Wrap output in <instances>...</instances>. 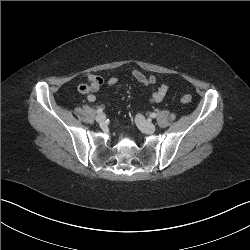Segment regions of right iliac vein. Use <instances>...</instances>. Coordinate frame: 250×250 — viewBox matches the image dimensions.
<instances>
[{
	"instance_id": "obj_1",
	"label": "right iliac vein",
	"mask_w": 250,
	"mask_h": 250,
	"mask_svg": "<svg viewBox=\"0 0 250 250\" xmlns=\"http://www.w3.org/2000/svg\"><path fill=\"white\" fill-rule=\"evenodd\" d=\"M106 119V116L104 114H98L96 116V121L100 124H102Z\"/></svg>"
}]
</instances>
